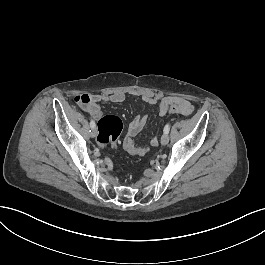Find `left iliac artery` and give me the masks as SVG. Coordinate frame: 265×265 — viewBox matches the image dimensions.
I'll use <instances>...</instances> for the list:
<instances>
[{"label": "left iliac artery", "instance_id": "left-iliac-artery-1", "mask_svg": "<svg viewBox=\"0 0 265 265\" xmlns=\"http://www.w3.org/2000/svg\"><path fill=\"white\" fill-rule=\"evenodd\" d=\"M169 130H170V124L167 123L164 127V133L168 134L169 133Z\"/></svg>", "mask_w": 265, "mask_h": 265}]
</instances>
